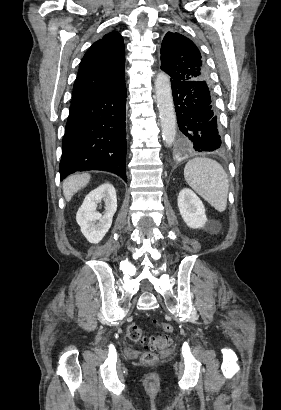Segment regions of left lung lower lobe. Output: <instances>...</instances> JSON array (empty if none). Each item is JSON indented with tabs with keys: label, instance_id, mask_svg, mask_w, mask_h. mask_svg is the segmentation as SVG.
I'll return each mask as SVG.
<instances>
[{
	"label": "left lung lower lobe",
	"instance_id": "0a47b994",
	"mask_svg": "<svg viewBox=\"0 0 281 410\" xmlns=\"http://www.w3.org/2000/svg\"><path fill=\"white\" fill-rule=\"evenodd\" d=\"M177 121L184 142L195 151L221 148L210 86L205 81H171Z\"/></svg>",
	"mask_w": 281,
	"mask_h": 410
}]
</instances>
